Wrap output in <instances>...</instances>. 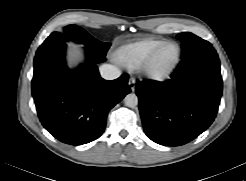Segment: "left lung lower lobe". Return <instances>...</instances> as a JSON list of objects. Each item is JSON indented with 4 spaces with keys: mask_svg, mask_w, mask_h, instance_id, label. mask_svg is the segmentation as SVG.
Listing matches in <instances>:
<instances>
[{
    "mask_svg": "<svg viewBox=\"0 0 246 181\" xmlns=\"http://www.w3.org/2000/svg\"><path fill=\"white\" fill-rule=\"evenodd\" d=\"M146 135L165 146L184 145L213 122L222 95L219 58L213 47L182 56L171 79L136 84Z\"/></svg>",
    "mask_w": 246,
    "mask_h": 181,
    "instance_id": "left-lung-lower-lobe-1",
    "label": "left lung lower lobe"
}]
</instances>
